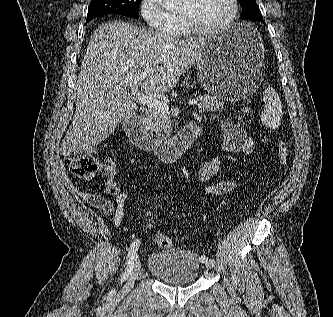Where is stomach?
I'll return each instance as SVG.
<instances>
[{
  "label": "stomach",
  "mask_w": 333,
  "mask_h": 317,
  "mask_svg": "<svg viewBox=\"0 0 333 317\" xmlns=\"http://www.w3.org/2000/svg\"><path fill=\"white\" fill-rule=\"evenodd\" d=\"M264 45L260 34L245 23H234L208 37L197 60L201 85L217 99L237 102L261 95Z\"/></svg>",
  "instance_id": "stomach-1"
}]
</instances>
